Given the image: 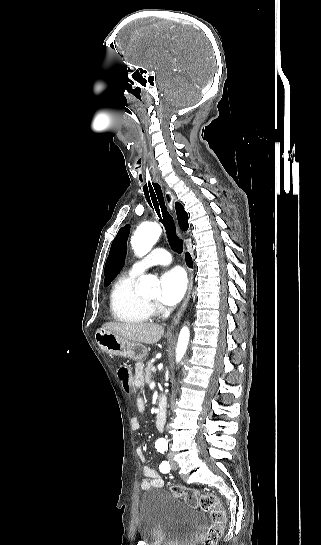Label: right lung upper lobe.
Masks as SVG:
<instances>
[{
    "label": "right lung upper lobe",
    "mask_w": 321,
    "mask_h": 545,
    "mask_svg": "<svg viewBox=\"0 0 321 545\" xmlns=\"http://www.w3.org/2000/svg\"><path fill=\"white\" fill-rule=\"evenodd\" d=\"M175 206L180 228L185 231L188 229V214L180 203H176Z\"/></svg>",
    "instance_id": "right-lung-upper-lobe-1"
}]
</instances>
